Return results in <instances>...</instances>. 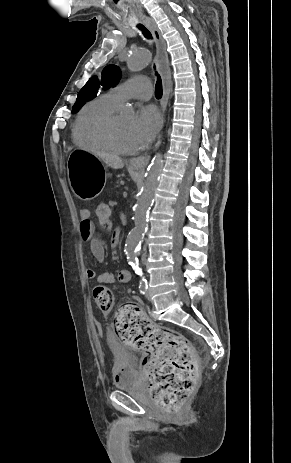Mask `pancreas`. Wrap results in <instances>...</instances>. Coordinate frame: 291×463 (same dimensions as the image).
I'll return each mask as SVG.
<instances>
[{
    "label": "pancreas",
    "instance_id": "1",
    "mask_svg": "<svg viewBox=\"0 0 291 463\" xmlns=\"http://www.w3.org/2000/svg\"><path fill=\"white\" fill-rule=\"evenodd\" d=\"M124 182L122 180H117L115 183H111L108 187L109 191L118 196L122 193V185Z\"/></svg>",
    "mask_w": 291,
    "mask_h": 463
}]
</instances>
